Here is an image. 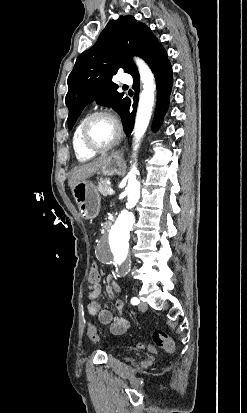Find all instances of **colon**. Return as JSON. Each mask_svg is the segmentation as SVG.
<instances>
[{
    "label": "colon",
    "instance_id": "obj_1",
    "mask_svg": "<svg viewBox=\"0 0 247 413\" xmlns=\"http://www.w3.org/2000/svg\"><path fill=\"white\" fill-rule=\"evenodd\" d=\"M101 281V275L96 274V265H91L88 270V285L95 286ZM85 335L91 340L98 342V332L96 326L92 322H87L85 326ZM152 342L156 347H161L166 355H177L178 347L175 346L173 340L170 339L168 333L163 330H154L152 333Z\"/></svg>",
    "mask_w": 247,
    "mask_h": 413
}]
</instances>
